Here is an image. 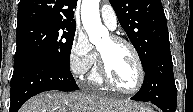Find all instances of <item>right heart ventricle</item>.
<instances>
[{
  "instance_id": "obj_1",
  "label": "right heart ventricle",
  "mask_w": 193,
  "mask_h": 112,
  "mask_svg": "<svg viewBox=\"0 0 193 112\" xmlns=\"http://www.w3.org/2000/svg\"><path fill=\"white\" fill-rule=\"evenodd\" d=\"M90 80L97 85H101L103 83L96 67L93 69L90 75Z\"/></svg>"
}]
</instances>
